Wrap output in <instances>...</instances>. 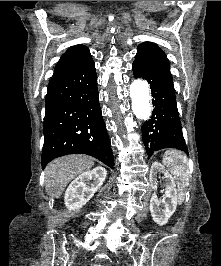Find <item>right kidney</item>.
I'll return each instance as SVG.
<instances>
[{"label":"right kidney","instance_id":"right-kidney-1","mask_svg":"<svg viewBox=\"0 0 221 266\" xmlns=\"http://www.w3.org/2000/svg\"><path fill=\"white\" fill-rule=\"evenodd\" d=\"M107 171L98 166L79 175L71 182L64 196V202L69 210H77L85 205L103 185Z\"/></svg>","mask_w":221,"mask_h":266}]
</instances>
